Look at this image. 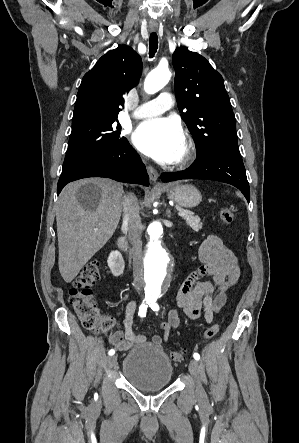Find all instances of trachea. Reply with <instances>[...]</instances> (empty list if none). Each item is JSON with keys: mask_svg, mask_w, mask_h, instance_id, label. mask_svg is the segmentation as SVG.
Instances as JSON below:
<instances>
[{"mask_svg": "<svg viewBox=\"0 0 299 443\" xmlns=\"http://www.w3.org/2000/svg\"><path fill=\"white\" fill-rule=\"evenodd\" d=\"M158 49V36L157 34L151 33L150 35V39H149V56L150 58H153L155 53L157 52Z\"/></svg>", "mask_w": 299, "mask_h": 443, "instance_id": "trachea-1", "label": "trachea"}]
</instances>
